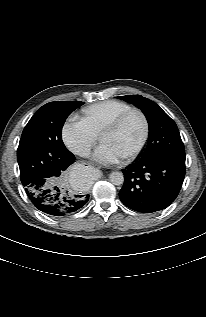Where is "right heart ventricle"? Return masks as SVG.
<instances>
[{
  "label": "right heart ventricle",
  "instance_id": "1",
  "mask_svg": "<svg viewBox=\"0 0 206 317\" xmlns=\"http://www.w3.org/2000/svg\"><path fill=\"white\" fill-rule=\"evenodd\" d=\"M131 108L130 104L123 101L106 100L83 108L81 119L95 135H100L112 119Z\"/></svg>",
  "mask_w": 206,
  "mask_h": 317
}]
</instances>
